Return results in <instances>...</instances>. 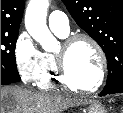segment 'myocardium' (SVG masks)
Masks as SVG:
<instances>
[{
    "label": "myocardium",
    "mask_w": 123,
    "mask_h": 113,
    "mask_svg": "<svg viewBox=\"0 0 123 113\" xmlns=\"http://www.w3.org/2000/svg\"><path fill=\"white\" fill-rule=\"evenodd\" d=\"M79 41H86L90 43L95 49L99 58V74L97 80L92 86L88 88L82 87L74 83L69 77L67 66H66L67 53L75 45V43ZM54 58H55L58 77L61 83L72 90H75L79 93H86V94L94 93L102 86V84L105 81L107 75V66H108V61L105 51L103 50L100 43L94 37L88 34L78 33V34L66 36L61 43L60 50L56 52Z\"/></svg>",
    "instance_id": "f54148a6"
}]
</instances>
